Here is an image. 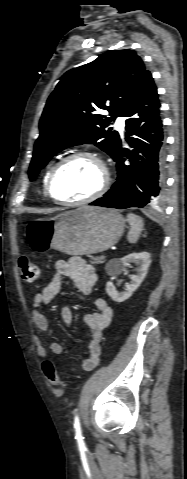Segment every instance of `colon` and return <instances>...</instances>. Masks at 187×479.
Segmentation results:
<instances>
[{"mask_svg": "<svg viewBox=\"0 0 187 479\" xmlns=\"http://www.w3.org/2000/svg\"><path fill=\"white\" fill-rule=\"evenodd\" d=\"M19 269L21 277L26 283L35 282L40 275L39 266L27 257H21L19 260ZM43 371L50 383L57 388H64L66 383L61 378L59 372L51 361H46L43 365Z\"/></svg>", "mask_w": 187, "mask_h": 479, "instance_id": "obj_1", "label": "colon"}]
</instances>
